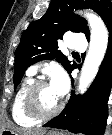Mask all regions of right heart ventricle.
<instances>
[{
  "mask_svg": "<svg viewBox=\"0 0 112 135\" xmlns=\"http://www.w3.org/2000/svg\"><path fill=\"white\" fill-rule=\"evenodd\" d=\"M34 82L32 75H28L17 92L14 95V98L11 103L10 112L13 121L20 127L28 128L37 124V120L31 118L24 107V97L29 86Z\"/></svg>",
  "mask_w": 112,
  "mask_h": 135,
  "instance_id": "e07e8e85",
  "label": "right heart ventricle"
}]
</instances>
